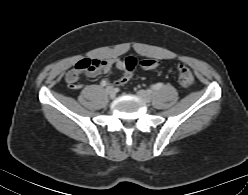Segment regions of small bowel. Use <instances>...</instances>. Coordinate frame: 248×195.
<instances>
[{
	"label": "small bowel",
	"instance_id": "small-bowel-1",
	"mask_svg": "<svg viewBox=\"0 0 248 195\" xmlns=\"http://www.w3.org/2000/svg\"><path fill=\"white\" fill-rule=\"evenodd\" d=\"M113 68H116L120 73L124 75L125 69L122 59H94L90 63V70L87 73V76L96 77L100 74L110 72Z\"/></svg>",
	"mask_w": 248,
	"mask_h": 195
}]
</instances>
